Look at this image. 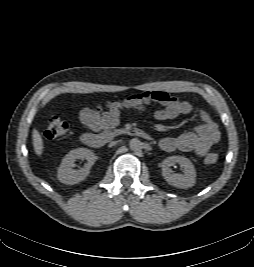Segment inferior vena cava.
Listing matches in <instances>:
<instances>
[{
  "instance_id": "obj_1",
  "label": "inferior vena cava",
  "mask_w": 254,
  "mask_h": 267,
  "mask_svg": "<svg viewBox=\"0 0 254 267\" xmlns=\"http://www.w3.org/2000/svg\"><path fill=\"white\" fill-rule=\"evenodd\" d=\"M116 144H117V141H112V142L109 143V147H112V146H114Z\"/></svg>"
}]
</instances>
